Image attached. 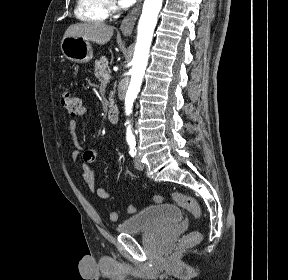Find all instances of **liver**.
Listing matches in <instances>:
<instances>
[{"label":"liver","mask_w":288,"mask_h":280,"mask_svg":"<svg viewBox=\"0 0 288 280\" xmlns=\"http://www.w3.org/2000/svg\"><path fill=\"white\" fill-rule=\"evenodd\" d=\"M114 28L99 22L77 23L66 30L64 37H80L84 40L104 45L113 36Z\"/></svg>","instance_id":"6515ba94"}]
</instances>
